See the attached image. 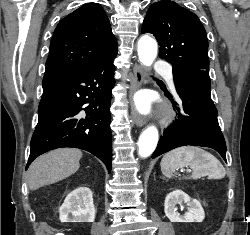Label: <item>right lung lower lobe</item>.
I'll return each instance as SVG.
<instances>
[{
    "label": "right lung lower lobe",
    "instance_id": "1",
    "mask_svg": "<svg viewBox=\"0 0 250 235\" xmlns=\"http://www.w3.org/2000/svg\"><path fill=\"white\" fill-rule=\"evenodd\" d=\"M116 55L72 74L43 79L39 119L26 169L47 151L74 147L97 156L111 172L110 106Z\"/></svg>",
    "mask_w": 250,
    "mask_h": 235
}]
</instances>
